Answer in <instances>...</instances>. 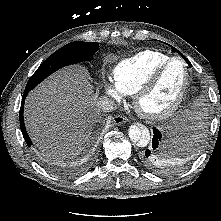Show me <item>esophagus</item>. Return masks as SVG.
Instances as JSON below:
<instances>
[{"label": "esophagus", "instance_id": "esophagus-1", "mask_svg": "<svg viewBox=\"0 0 221 221\" xmlns=\"http://www.w3.org/2000/svg\"><path fill=\"white\" fill-rule=\"evenodd\" d=\"M127 118L125 116H122V115H116L115 117H113V123L115 125H121L125 122H127Z\"/></svg>", "mask_w": 221, "mask_h": 221}]
</instances>
